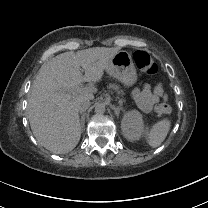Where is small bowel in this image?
<instances>
[{
    "label": "small bowel",
    "mask_w": 208,
    "mask_h": 208,
    "mask_svg": "<svg viewBox=\"0 0 208 208\" xmlns=\"http://www.w3.org/2000/svg\"><path fill=\"white\" fill-rule=\"evenodd\" d=\"M133 96L144 112H151L156 104L166 99V94L160 83L154 88L145 84L141 89L134 90Z\"/></svg>",
    "instance_id": "1"
}]
</instances>
